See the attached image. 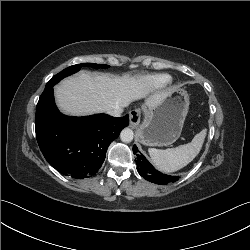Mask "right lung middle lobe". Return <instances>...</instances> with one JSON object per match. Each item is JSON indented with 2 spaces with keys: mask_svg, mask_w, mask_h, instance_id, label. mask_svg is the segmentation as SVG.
<instances>
[{
  "mask_svg": "<svg viewBox=\"0 0 250 250\" xmlns=\"http://www.w3.org/2000/svg\"><path fill=\"white\" fill-rule=\"evenodd\" d=\"M82 66H90V67L97 68V69L109 67L108 65L94 64V63H83V64L73 65L62 70L60 73L56 74L55 76H53L52 79L46 84V87L54 86V84L58 83L64 77L69 76L79 71Z\"/></svg>",
  "mask_w": 250,
  "mask_h": 250,
  "instance_id": "right-lung-middle-lobe-1",
  "label": "right lung middle lobe"
}]
</instances>
